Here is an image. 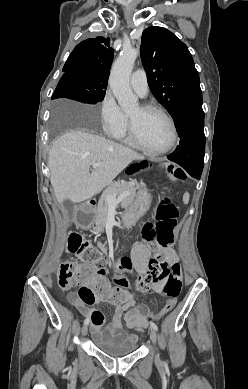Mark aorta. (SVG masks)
Listing matches in <instances>:
<instances>
[{"instance_id": "762f6f07", "label": "aorta", "mask_w": 248, "mask_h": 389, "mask_svg": "<svg viewBox=\"0 0 248 389\" xmlns=\"http://www.w3.org/2000/svg\"><path fill=\"white\" fill-rule=\"evenodd\" d=\"M138 54L135 48H124L111 70L109 85L123 111L138 106V99L130 87V75Z\"/></svg>"}]
</instances>
